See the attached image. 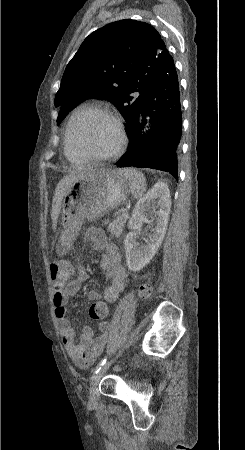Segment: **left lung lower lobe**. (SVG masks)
Here are the masks:
<instances>
[{"instance_id":"left-lung-lower-lobe-1","label":"left lung lower lobe","mask_w":245,"mask_h":450,"mask_svg":"<svg viewBox=\"0 0 245 450\" xmlns=\"http://www.w3.org/2000/svg\"><path fill=\"white\" fill-rule=\"evenodd\" d=\"M182 130L180 90L172 57L151 84L128 134L127 152L117 167L167 171L178 179L177 156Z\"/></svg>"}]
</instances>
